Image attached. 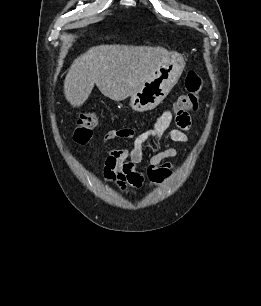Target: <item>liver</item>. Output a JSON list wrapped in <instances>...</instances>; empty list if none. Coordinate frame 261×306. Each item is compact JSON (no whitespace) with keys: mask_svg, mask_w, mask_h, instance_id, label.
Wrapping results in <instances>:
<instances>
[{"mask_svg":"<svg viewBox=\"0 0 261 306\" xmlns=\"http://www.w3.org/2000/svg\"><path fill=\"white\" fill-rule=\"evenodd\" d=\"M163 47L99 45L75 59L64 80V94L73 107L88 99L94 84L100 92L122 101L137 91L150 71L169 56Z\"/></svg>","mask_w":261,"mask_h":306,"instance_id":"liver-1","label":"liver"}]
</instances>
